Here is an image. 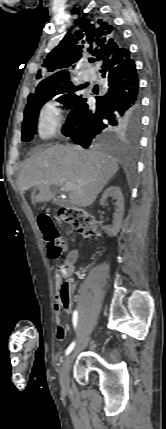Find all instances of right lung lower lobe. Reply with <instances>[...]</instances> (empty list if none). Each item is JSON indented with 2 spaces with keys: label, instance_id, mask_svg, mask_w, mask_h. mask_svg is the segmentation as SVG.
Returning a JSON list of instances; mask_svg holds the SVG:
<instances>
[{
  "label": "right lung lower lobe",
  "instance_id": "1",
  "mask_svg": "<svg viewBox=\"0 0 166 429\" xmlns=\"http://www.w3.org/2000/svg\"><path fill=\"white\" fill-rule=\"evenodd\" d=\"M101 63L100 72L108 80V92L96 97V110L90 109L87 99L79 96L62 129L65 136L84 148L94 145L104 131H128L135 135L140 127L139 80L130 52L124 48L116 57Z\"/></svg>",
  "mask_w": 166,
  "mask_h": 429
}]
</instances>
